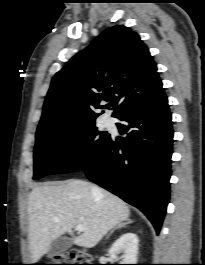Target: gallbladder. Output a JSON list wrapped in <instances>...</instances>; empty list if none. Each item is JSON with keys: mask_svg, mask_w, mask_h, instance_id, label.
<instances>
[{"mask_svg": "<svg viewBox=\"0 0 205 265\" xmlns=\"http://www.w3.org/2000/svg\"><path fill=\"white\" fill-rule=\"evenodd\" d=\"M73 244L71 238L66 236H60L53 240L48 247L47 250V257L53 258L56 255L63 253L64 251L68 250Z\"/></svg>", "mask_w": 205, "mask_h": 265, "instance_id": "bac80fb5", "label": "gallbladder"}]
</instances>
